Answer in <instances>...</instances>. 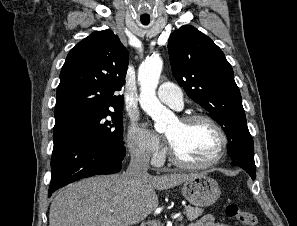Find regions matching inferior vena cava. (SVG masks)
Segmentation results:
<instances>
[{
	"instance_id": "1",
	"label": "inferior vena cava",
	"mask_w": 297,
	"mask_h": 226,
	"mask_svg": "<svg viewBox=\"0 0 297 226\" xmlns=\"http://www.w3.org/2000/svg\"><path fill=\"white\" fill-rule=\"evenodd\" d=\"M149 155L145 151H133L129 166L124 173L131 182H137L148 177Z\"/></svg>"
}]
</instances>
